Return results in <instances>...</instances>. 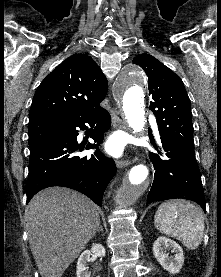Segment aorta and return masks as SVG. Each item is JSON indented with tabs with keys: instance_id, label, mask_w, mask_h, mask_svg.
I'll list each match as a JSON object with an SVG mask.
<instances>
[{
	"instance_id": "obj_1",
	"label": "aorta",
	"mask_w": 221,
	"mask_h": 277,
	"mask_svg": "<svg viewBox=\"0 0 221 277\" xmlns=\"http://www.w3.org/2000/svg\"><path fill=\"white\" fill-rule=\"evenodd\" d=\"M144 84L145 74L136 65L125 66L116 83L117 97L122 101L125 119L133 133L144 130ZM149 171L146 165L137 164L128 172L123 186L116 193L119 208H129L147 190Z\"/></svg>"
}]
</instances>
